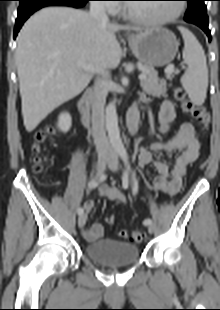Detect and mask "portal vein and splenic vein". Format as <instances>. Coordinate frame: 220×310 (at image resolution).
Returning <instances> with one entry per match:
<instances>
[{"instance_id":"portal-vein-and-splenic-vein-1","label":"portal vein and splenic vein","mask_w":220,"mask_h":310,"mask_svg":"<svg viewBox=\"0 0 220 310\" xmlns=\"http://www.w3.org/2000/svg\"><path fill=\"white\" fill-rule=\"evenodd\" d=\"M83 69L85 70H91V71H95L94 68H92L90 65H87V64H83L81 63ZM174 71V65H171L169 66L167 69H166V72H173ZM146 78V75L144 73L140 74L139 75V80L142 81Z\"/></svg>"}]
</instances>
